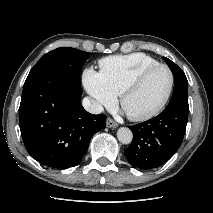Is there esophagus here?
Wrapping results in <instances>:
<instances>
[{
	"label": "esophagus",
	"instance_id": "34e87169",
	"mask_svg": "<svg viewBox=\"0 0 213 213\" xmlns=\"http://www.w3.org/2000/svg\"><path fill=\"white\" fill-rule=\"evenodd\" d=\"M106 126L108 128H116L118 126V124L113 119L108 118L107 122H106Z\"/></svg>",
	"mask_w": 213,
	"mask_h": 213
}]
</instances>
